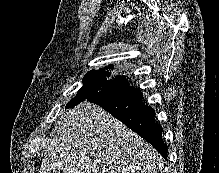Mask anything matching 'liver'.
I'll return each instance as SVG.
<instances>
[{
  "label": "liver",
  "instance_id": "obj_1",
  "mask_svg": "<svg viewBox=\"0 0 219 173\" xmlns=\"http://www.w3.org/2000/svg\"><path fill=\"white\" fill-rule=\"evenodd\" d=\"M163 167L148 142L102 107L84 101L60 115L40 173H159Z\"/></svg>",
  "mask_w": 219,
  "mask_h": 173
}]
</instances>
